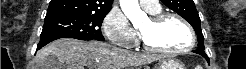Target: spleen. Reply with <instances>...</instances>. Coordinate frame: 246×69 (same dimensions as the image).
Returning <instances> with one entry per match:
<instances>
[{
  "label": "spleen",
  "instance_id": "1",
  "mask_svg": "<svg viewBox=\"0 0 246 69\" xmlns=\"http://www.w3.org/2000/svg\"><path fill=\"white\" fill-rule=\"evenodd\" d=\"M197 69H202L201 66H197Z\"/></svg>",
  "mask_w": 246,
  "mask_h": 69
}]
</instances>
